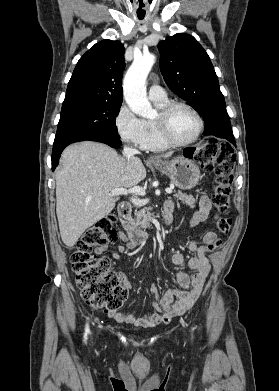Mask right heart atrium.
<instances>
[{
	"mask_svg": "<svg viewBox=\"0 0 279 391\" xmlns=\"http://www.w3.org/2000/svg\"><path fill=\"white\" fill-rule=\"evenodd\" d=\"M114 125L120 139L126 143L141 147L145 137L143 120L126 105L118 109Z\"/></svg>",
	"mask_w": 279,
	"mask_h": 391,
	"instance_id": "obj_1",
	"label": "right heart atrium"
}]
</instances>
